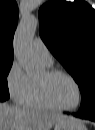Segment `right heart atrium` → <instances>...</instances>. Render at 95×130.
<instances>
[{
	"instance_id": "obj_1",
	"label": "right heart atrium",
	"mask_w": 95,
	"mask_h": 130,
	"mask_svg": "<svg viewBox=\"0 0 95 130\" xmlns=\"http://www.w3.org/2000/svg\"><path fill=\"white\" fill-rule=\"evenodd\" d=\"M32 80L18 62H13L6 76V87L10 97L19 104H25Z\"/></svg>"
}]
</instances>
